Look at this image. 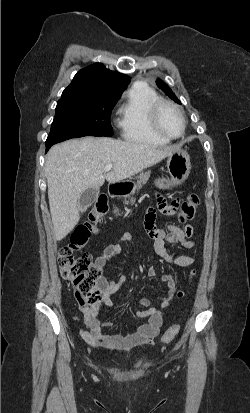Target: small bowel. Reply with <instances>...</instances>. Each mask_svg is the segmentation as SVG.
Instances as JSON below:
<instances>
[{
    "label": "small bowel",
    "instance_id": "small-bowel-1",
    "mask_svg": "<svg viewBox=\"0 0 250 413\" xmlns=\"http://www.w3.org/2000/svg\"><path fill=\"white\" fill-rule=\"evenodd\" d=\"M181 203V196L177 195L171 204H167L162 197L157 198V208L160 212L166 215L178 214V209ZM155 208L148 209L145 216V233L148 238L154 239V250L165 262L184 268L193 265L196 262V257L190 255H170L165 247V243L179 245L184 249H192L196 246V242L192 239L194 235L193 225H186L183 228L172 224H167L162 228L155 226ZM130 239V235L125 234L118 242L107 245L101 254L96 258L95 265L101 270L102 274L98 279L99 288L102 291V303L114 308L115 304L111 296L117 292L120 286L125 282V276H119L117 281L109 280L103 275L107 262L122 250V244ZM196 274L195 270L191 271V278ZM149 277H157V271L154 266H150L147 270ZM175 274H165L161 276V281L167 286V293L164 296L158 297L157 307L148 298H141L139 304L143 310L135 313V317L139 319H147V322L138 326L135 330L122 333H105L106 329H113L114 323L110 321L102 322L99 319L100 305L95 307L80 306L83 313V326L79 330L80 337L90 347L94 349L106 348L108 350H116L120 352H129L134 348L148 346L153 344V340L158 336L162 325L161 309L167 307L173 300L180 299L184 296L182 290L177 289Z\"/></svg>",
    "mask_w": 250,
    "mask_h": 413
}]
</instances>
